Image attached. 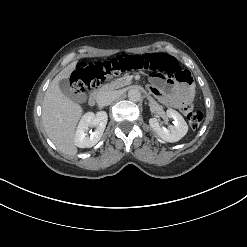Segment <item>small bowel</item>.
<instances>
[{
    "label": "small bowel",
    "mask_w": 247,
    "mask_h": 247,
    "mask_svg": "<svg viewBox=\"0 0 247 247\" xmlns=\"http://www.w3.org/2000/svg\"><path fill=\"white\" fill-rule=\"evenodd\" d=\"M151 77L150 92L166 106L188 113L191 105L192 89L186 86L171 84L162 85L163 75L148 72Z\"/></svg>",
    "instance_id": "small-bowel-1"
}]
</instances>
